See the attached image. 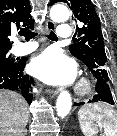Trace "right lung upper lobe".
<instances>
[{
    "label": "right lung upper lobe",
    "mask_w": 117,
    "mask_h": 136,
    "mask_svg": "<svg viewBox=\"0 0 117 136\" xmlns=\"http://www.w3.org/2000/svg\"><path fill=\"white\" fill-rule=\"evenodd\" d=\"M28 0H0V52L9 51L11 31L32 24Z\"/></svg>",
    "instance_id": "obj_1"
}]
</instances>
